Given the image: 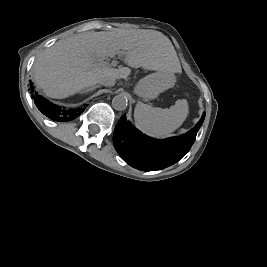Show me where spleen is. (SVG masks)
Returning a JSON list of instances; mask_svg holds the SVG:
<instances>
[{
    "instance_id": "spleen-1",
    "label": "spleen",
    "mask_w": 267,
    "mask_h": 267,
    "mask_svg": "<svg viewBox=\"0 0 267 267\" xmlns=\"http://www.w3.org/2000/svg\"><path fill=\"white\" fill-rule=\"evenodd\" d=\"M188 114L185 100H177L170 108H154L138 102L134 110L136 127L144 134L164 139L177 130L185 121Z\"/></svg>"
}]
</instances>
